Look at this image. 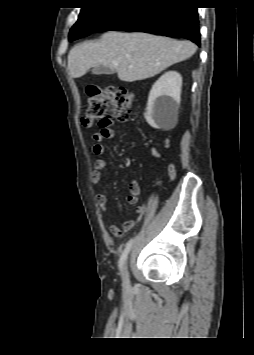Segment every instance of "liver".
<instances>
[{"label": "liver", "mask_w": 254, "mask_h": 355, "mask_svg": "<svg viewBox=\"0 0 254 355\" xmlns=\"http://www.w3.org/2000/svg\"><path fill=\"white\" fill-rule=\"evenodd\" d=\"M197 46L190 41H177L146 33L111 31L98 41H85L68 54V70L79 78L96 66L117 71L121 81L133 82L153 77L167 67L190 58Z\"/></svg>", "instance_id": "obj_1"}]
</instances>
